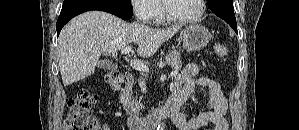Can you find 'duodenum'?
Here are the masks:
<instances>
[{
  "label": "duodenum",
  "instance_id": "obj_1",
  "mask_svg": "<svg viewBox=\"0 0 299 130\" xmlns=\"http://www.w3.org/2000/svg\"><path fill=\"white\" fill-rule=\"evenodd\" d=\"M134 82L132 73L126 72L124 74V88L118 96V103L127 114V124L130 130H148L153 129L157 125L167 120H174L180 113V106L184 103L188 96L181 94L180 96H173L169 99L164 108L155 114L145 117H139L133 114L129 103L131 88Z\"/></svg>",
  "mask_w": 299,
  "mask_h": 130
}]
</instances>
